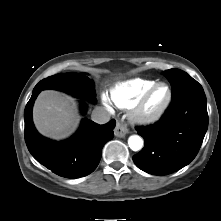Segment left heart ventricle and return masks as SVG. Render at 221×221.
<instances>
[{"mask_svg":"<svg viewBox=\"0 0 221 221\" xmlns=\"http://www.w3.org/2000/svg\"><path fill=\"white\" fill-rule=\"evenodd\" d=\"M167 88L165 86L158 87L150 97L146 109L149 112H154L161 107L167 98Z\"/></svg>","mask_w":221,"mask_h":221,"instance_id":"b2bd125f","label":"left heart ventricle"}]
</instances>
